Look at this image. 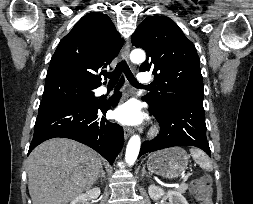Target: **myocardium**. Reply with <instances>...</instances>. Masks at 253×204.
Here are the masks:
<instances>
[{
    "mask_svg": "<svg viewBox=\"0 0 253 204\" xmlns=\"http://www.w3.org/2000/svg\"><path fill=\"white\" fill-rule=\"evenodd\" d=\"M158 133H159V127H158V126L153 127V128L151 129V131H150L151 136H155V135H157Z\"/></svg>",
    "mask_w": 253,
    "mask_h": 204,
    "instance_id": "myocardium-1",
    "label": "myocardium"
}]
</instances>
